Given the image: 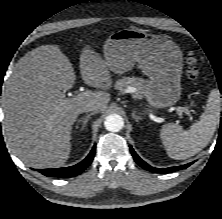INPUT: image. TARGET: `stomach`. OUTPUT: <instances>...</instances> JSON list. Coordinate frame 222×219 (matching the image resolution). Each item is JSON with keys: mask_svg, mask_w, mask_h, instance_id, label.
<instances>
[{"mask_svg": "<svg viewBox=\"0 0 222 219\" xmlns=\"http://www.w3.org/2000/svg\"><path fill=\"white\" fill-rule=\"evenodd\" d=\"M103 53L109 69L118 74L137 63L150 79L143 91L150 106L169 107L180 99L183 56L173 41L138 29H122L105 41Z\"/></svg>", "mask_w": 222, "mask_h": 219, "instance_id": "stomach-1", "label": "stomach"}]
</instances>
